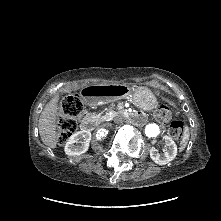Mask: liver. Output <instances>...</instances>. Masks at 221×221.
<instances>
[{
	"mask_svg": "<svg viewBox=\"0 0 221 221\" xmlns=\"http://www.w3.org/2000/svg\"><path fill=\"white\" fill-rule=\"evenodd\" d=\"M58 96H54L44 107L38 122L39 134L42 142L51 147L56 148L57 134V115H58Z\"/></svg>",
	"mask_w": 221,
	"mask_h": 221,
	"instance_id": "1",
	"label": "liver"
}]
</instances>
